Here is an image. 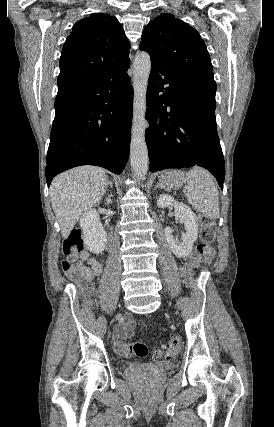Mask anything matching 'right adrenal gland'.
I'll return each mask as SVG.
<instances>
[{
    "label": "right adrenal gland",
    "instance_id": "1",
    "mask_svg": "<svg viewBox=\"0 0 274 427\" xmlns=\"http://www.w3.org/2000/svg\"><path fill=\"white\" fill-rule=\"evenodd\" d=\"M108 186H110V188H113L112 182H108Z\"/></svg>",
    "mask_w": 274,
    "mask_h": 427
}]
</instances>
